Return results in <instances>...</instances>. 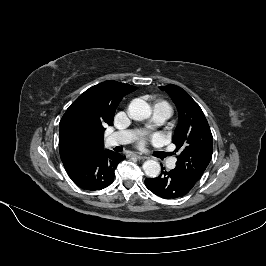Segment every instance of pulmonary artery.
Instances as JSON below:
<instances>
[{
  "instance_id": "1",
  "label": "pulmonary artery",
  "mask_w": 266,
  "mask_h": 266,
  "mask_svg": "<svg viewBox=\"0 0 266 266\" xmlns=\"http://www.w3.org/2000/svg\"><path fill=\"white\" fill-rule=\"evenodd\" d=\"M170 113L162 108V107H154V121L157 124H161L163 123L167 118H169ZM134 138V133L132 131H120V132H115L113 134H111L108 139L107 142L109 145L111 146H115V145H122V144H126L129 143L130 141H132V139ZM167 166L169 168H174L175 167V159L174 158H170L167 161Z\"/></svg>"
}]
</instances>
